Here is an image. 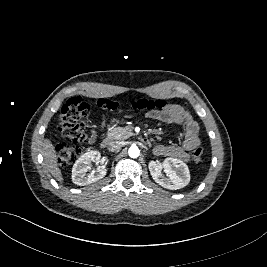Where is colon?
I'll use <instances>...</instances> for the list:
<instances>
[{
	"instance_id": "obj_1",
	"label": "colon",
	"mask_w": 267,
	"mask_h": 267,
	"mask_svg": "<svg viewBox=\"0 0 267 267\" xmlns=\"http://www.w3.org/2000/svg\"><path fill=\"white\" fill-rule=\"evenodd\" d=\"M167 105V101L162 99H140L130 104L118 103L109 99H99L94 102V106L104 112H116L127 108L153 112L162 110ZM90 111V103L81 97L70 98L62 106L59 116V131L68 142H61L56 147L58 163L61 166L70 165L83 153L84 144L89 141L87 117ZM203 153L204 148L198 145L192 151V160L195 163L201 162Z\"/></svg>"
}]
</instances>
